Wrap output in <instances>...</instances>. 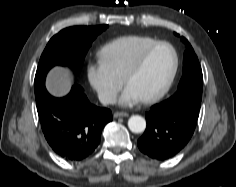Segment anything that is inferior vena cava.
I'll list each match as a JSON object with an SVG mask.
<instances>
[{"label":"inferior vena cava","mask_w":236,"mask_h":187,"mask_svg":"<svg viewBox=\"0 0 236 187\" xmlns=\"http://www.w3.org/2000/svg\"><path fill=\"white\" fill-rule=\"evenodd\" d=\"M98 97L103 105L115 104L117 101L116 95L114 93H100Z\"/></svg>","instance_id":"inferior-vena-cava-1"}]
</instances>
